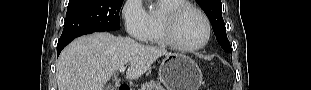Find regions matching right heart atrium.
I'll list each match as a JSON object with an SVG mask.
<instances>
[{"mask_svg":"<svg viewBox=\"0 0 311 90\" xmlns=\"http://www.w3.org/2000/svg\"><path fill=\"white\" fill-rule=\"evenodd\" d=\"M122 17L128 36L143 41L148 33V13L141 0H127L122 9Z\"/></svg>","mask_w":311,"mask_h":90,"instance_id":"right-heart-atrium-1","label":"right heart atrium"}]
</instances>
